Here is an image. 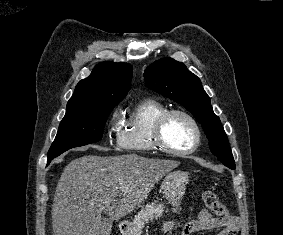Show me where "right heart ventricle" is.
<instances>
[{
    "instance_id": "e07e8e85",
    "label": "right heart ventricle",
    "mask_w": 283,
    "mask_h": 235,
    "mask_svg": "<svg viewBox=\"0 0 283 235\" xmlns=\"http://www.w3.org/2000/svg\"><path fill=\"white\" fill-rule=\"evenodd\" d=\"M168 110L161 101L148 98L139 101L130 111L118 136L119 146L129 152L149 153L157 149L153 141L156 120Z\"/></svg>"
}]
</instances>
